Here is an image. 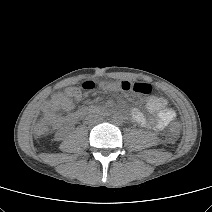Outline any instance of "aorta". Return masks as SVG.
<instances>
[{
	"label": "aorta",
	"mask_w": 212,
	"mask_h": 212,
	"mask_svg": "<svg viewBox=\"0 0 212 212\" xmlns=\"http://www.w3.org/2000/svg\"><path fill=\"white\" fill-rule=\"evenodd\" d=\"M113 120L116 121V122H120L122 120V115L120 114H115L113 116Z\"/></svg>",
	"instance_id": "762f6f07"
}]
</instances>
